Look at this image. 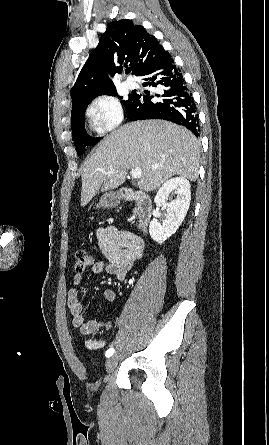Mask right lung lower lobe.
Instances as JSON below:
<instances>
[{
	"label": "right lung lower lobe",
	"instance_id": "right-lung-lower-lobe-1",
	"mask_svg": "<svg viewBox=\"0 0 269 445\" xmlns=\"http://www.w3.org/2000/svg\"><path fill=\"white\" fill-rule=\"evenodd\" d=\"M140 76L144 86L157 88V93L135 94L127 116L130 121L164 119L185 126L199 136V119L192 94L170 54L151 65ZM153 99V100H152Z\"/></svg>",
	"mask_w": 269,
	"mask_h": 445
}]
</instances>
